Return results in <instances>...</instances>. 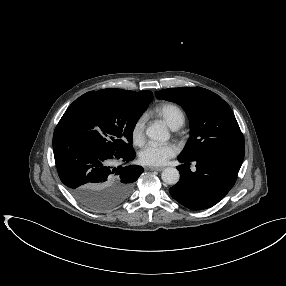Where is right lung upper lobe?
<instances>
[{"mask_svg":"<svg viewBox=\"0 0 286 286\" xmlns=\"http://www.w3.org/2000/svg\"><path fill=\"white\" fill-rule=\"evenodd\" d=\"M104 91L110 92L114 95H117L119 97L137 101V102H147L150 103L153 100V94L149 90H144L141 92H134V91H128V90H122V89H104Z\"/></svg>","mask_w":286,"mask_h":286,"instance_id":"1","label":"right lung upper lobe"}]
</instances>
